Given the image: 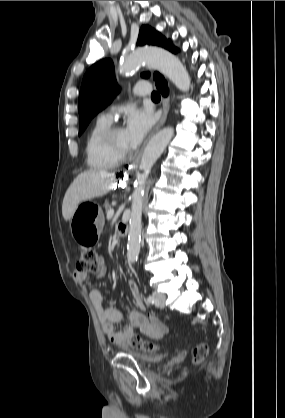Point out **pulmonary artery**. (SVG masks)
<instances>
[{
  "instance_id": "obj_1",
  "label": "pulmonary artery",
  "mask_w": 285,
  "mask_h": 418,
  "mask_svg": "<svg viewBox=\"0 0 285 418\" xmlns=\"http://www.w3.org/2000/svg\"><path fill=\"white\" fill-rule=\"evenodd\" d=\"M151 92L150 87L145 83H138L134 88L135 96H144L148 95ZM104 118L109 119V115H105Z\"/></svg>"
}]
</instances>
